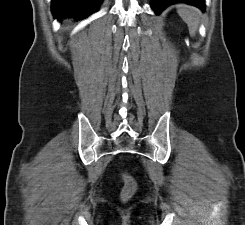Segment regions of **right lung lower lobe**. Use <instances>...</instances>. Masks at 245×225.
Segmentation results:
<instances>
[{
    "mask_svg": "<svg viewBox=\"0 0 245 225\" xmlns=\"http://www.w3.org/2000/svg\"><path fill=\"white\" fill-rule=\"evenodd\" d=\"M101 1L102 0H52V12L58 19L67 16L84 18L94 11Z\"/></svg>",
    "mask_w": 245,
    "mask_h": 225,
    "instance_id": "right-lung-lower-lobe-1",
    "label": "right lung lower lobe"
}]
</instances>
